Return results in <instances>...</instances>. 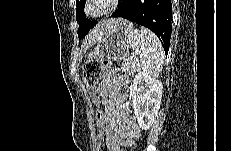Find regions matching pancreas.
I'll return each mask as SVG.
<instances>
[{"label":"pancreas","instance_id":"pancreas-1","mask_svg":"<svg viewBox=\"0 0 231 151\" xmlns=\"http://www.w3.org/2000/svg\"><path fill=\"white\" fill-rule=\"evenodd\" d=\"M137 64L134 60H127L123 62L122 69L125 71L128 75H134V73L137 71Z\"/></svg>","mask_w":231,"mask_h":151}]
</instances>
